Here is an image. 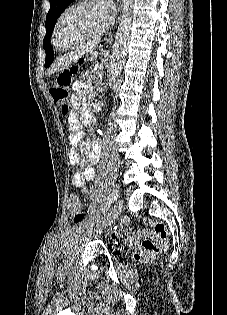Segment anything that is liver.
I'll return each mask as SVG.
<instances>
[{"instance_id":"liver-1","label":"liver","mask_w":227,"mask_h":315,"mask_svg":"<svg viewBox=\"0 0 227 315\" xmlns=\"http://www.w3.org/2000/svg\"><path fill=\"white\" fill-rule=\"evenodd\" d=\"M82 54H69L66 56H63L59 58L56 63L52 66V69L49 71L48 75L53 74L56 71L64 70L68 68L73 62H76V60L81 57Z\"/></svg>"}]
</instances>
